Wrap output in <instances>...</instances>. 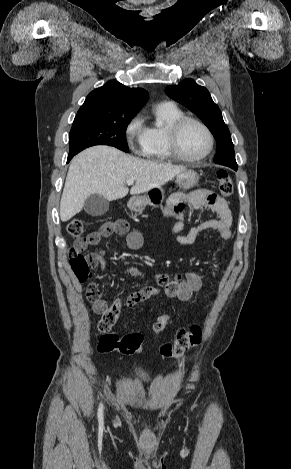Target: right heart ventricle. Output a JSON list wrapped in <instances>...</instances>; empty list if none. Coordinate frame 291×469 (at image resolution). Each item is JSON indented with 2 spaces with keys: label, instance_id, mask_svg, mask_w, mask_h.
I'll return each mask as SVG.
<instances>
[{
  "label": "right heart ventricle",
  "instance_id": "e07e8e85",
  "mask_svg": "<svg viewBox=\"0 0 291 469\" xmlns=\"http://www.w3.org/2000/svg\"><path fill=\"white\" fill-rule=\"evenodd\" d=\"M184 116L183 112L172 103H162L154 109V122L146 127V139L142 154L152 161H171L173 157L167 143V131L170 125Z\"/></svg>",
  "mask_w": 291,
  "mask_h": 469
}]
</instances>
